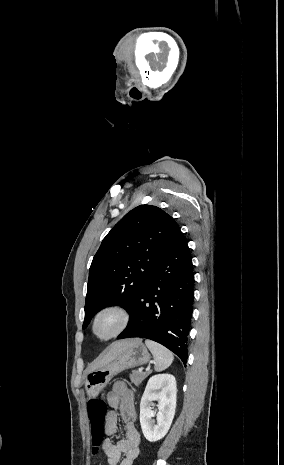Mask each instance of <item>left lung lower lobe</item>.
Returning a JSON list of instances; mask_svg holds the SVG:
<instances>
[{
  "label": "left lung lower lobe",
  "mask_w": 284,
  "mask_h": 465,
  "mask_svg": "<svg viewBox=\"0 0 284 465\" xmlns=\"http://www.w3.org/2000/svg\"><path fill=\"white\" fill-rule=\"evenodd\" d=\"M192 257L180 231L172 249L160 261L138 292L130 321L118 339L141 337L174 352L185 364L193 312Z\"/></svg>",
  "instance_id": "obj_1"
}]
</instances>
